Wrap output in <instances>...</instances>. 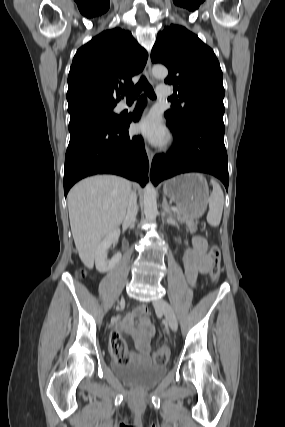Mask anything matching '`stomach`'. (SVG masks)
Wrapping results in <instances>:
<instances>
[{
	"label": "stomach",
	"mask_w": 285,
	"mask_h": 427,
	"mask_svg": "<svg viewBox=\"0 0 285 427\" xmlns=\"http://www.w3.org/2000/svg\"><path fill=\"white\" fill-rule=\"evenodd\" d=\"M163 192L192 220L203 215L209 200L207 181L198 173L183 174L167 180Z\"/></svg>",
	"instance_id": "1"
}]
</instances>
